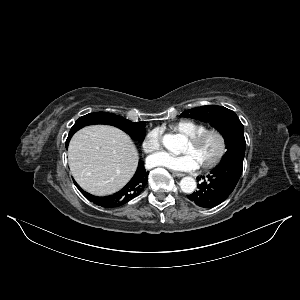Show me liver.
<instances>
[{
	"mask_svg": "<svg viewBox=\"0 0 300 300\" xmlns=\"http://www.w3.org/2000/svg\"><path fill=\"white\" fill-rule=\"evenodd\" d=\"M68 161L81 188L104 196L117 192L131 179L137 168L138 152L130 137L120 129L92 125L73 135Z\"/></svg>",
	"mask_w": 300,
	"mask_h": 300,
	"instance_id": "liver-1",
	"label": "liver"
}]
</instances>
